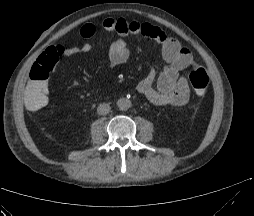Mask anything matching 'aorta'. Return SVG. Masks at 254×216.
<instances>
[{"mask_svg": "<svg viewBox=\"0 0 254 216\" xmlns=\"http://www.w3.org/2000/svg\"><path fill=\"white\" fill-rule=\"evenodd\" d=\"M117 106L120 110H128L132 104H131V101L127 98H120L118 101H117Z\"/></svg>", "mask_w": 254, "mask_h": 216, "instance_id": "aorta-1", "label": "aorta"}]
</instances>
